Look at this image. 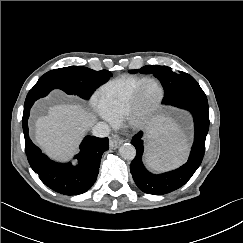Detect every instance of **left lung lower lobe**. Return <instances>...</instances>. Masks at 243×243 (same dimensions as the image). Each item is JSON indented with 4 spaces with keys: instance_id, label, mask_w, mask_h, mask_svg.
Here are the masks:
<instances>
[{
    "instance_id": "0a47b994",
    "label": "left lung lower lobe",
    "mask_w": 243,
    "mask_h": 243,
    "mask_svg": "<svg viewBox=\"0 0 243 243\" xmlns=\"http://www.w3.org/2000/svg\"><path fill=\"white\" fill-rule=\"evenodd\" d=\"M164 104L192 113L195 127L194 143L188 161L183 166L163 174H152L142 163L143 132L132 138L131 143L136 148V156L130 165L131 174L140 190L153 195L170 193L187 183L202 162L205 139L209 130L208 101L201 88L182 93Z\"/></svg>"
}]
</instances>
